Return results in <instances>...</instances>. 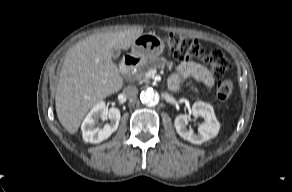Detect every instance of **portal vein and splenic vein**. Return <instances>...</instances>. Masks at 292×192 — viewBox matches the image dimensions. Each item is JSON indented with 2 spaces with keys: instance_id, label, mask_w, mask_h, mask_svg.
Returning a JSON list of instances; mask_svg holds the SVG:
<instances>
[{
  "instance_id": "1",
  "label": "portal vein and splenic vein",
  "mask_w": 292,
  "mask_h": 192,
  "mask_svg": "<svg viewBox=\"0 0 292 192\" xmlns=\"http://www.w3.org/2000/svg\"><path fill=\"white\" fill-rule=\"evenodd\" d=\"M152 75H154V71L150 70L146 73V77H151Z\"/></svg>"
}]
</instances>
